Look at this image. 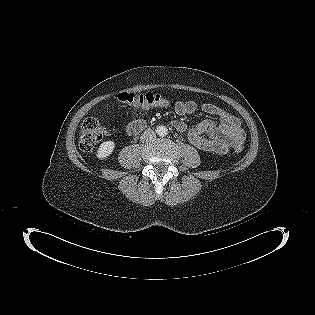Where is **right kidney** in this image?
<instances>
[{
	"label": "right kidney",
	"instance_id": "right-kidney-1",
	"mask_svg": "<svg viewBox=\"0 0 315 315\" xmlns=\"http://www.w3.org/2000/svg\"><path fill=\"white\" fill-rule=\"evenodd\" d=\"M115 146V142L111 140L101 143L96 152L97 158L100 160L107 159L114 151Z\"/></svg>",
	"mask_w": 315,
	"mask_h": 315
}]
</instances>
